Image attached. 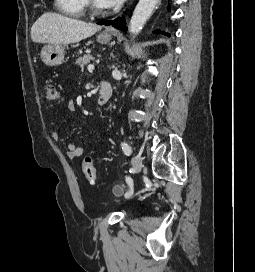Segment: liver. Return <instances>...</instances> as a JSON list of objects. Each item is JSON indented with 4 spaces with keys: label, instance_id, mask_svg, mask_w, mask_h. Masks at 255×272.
I'll return each instance as SVG.
<instances>
[{
    "label": "liver",
    "instance_id": "1",
    "mask_svg": "<svg viewBox=\"0 0 255 272\" xmlns=\"http://www.w3.org/2000/svg\"><path fill=\"white\" fill-rule=\"evenodd\" d=\"M101 30L95 23H87L61 14L47 12L33 24L31 39L49 45L76 43Z\"/></svg>",
    "mask_w": 255,
    "mask_h": 272
}]
</instances>
